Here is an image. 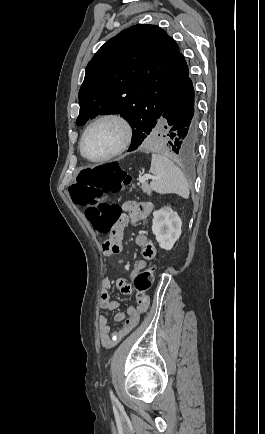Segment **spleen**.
I'll list each match as a JSON object with an SVG mask.
<instances>
[{"mask_svg":"<svg viewBox=\"0 0 265 434\" xmlns=\"http://www.w3.org/2000/svg\"><path fill=\"white\" fill-rule=\"evenodd\" d=\"M150 172L155 176V180L150 182L151 190L158 194H178L181 198H189V186L183 172L167 156L152 154Z\"/></svg>","mask_w":265,"mask_h":434,"instance_id":"1","label":"spleen"}]
</instances>
